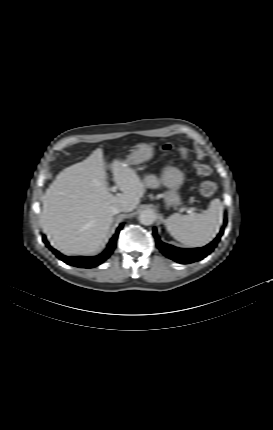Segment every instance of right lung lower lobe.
Here are the masks:
<instances>
[{
    "label": "right lung lower lobe",
    "mask_w": 273,
    "mask_h": 430,
    "mask_svg": "<svg viewBox=\"0 0 273 430\" xmlns=\"http://www.w3.org/2000/svg\"><path fill=\"white\" fill-rule=\"evenodd\" d=\"M122 227H123V224H120L115 235L109 241L105 251L102 254H100L98 256H94V257H82V256L68 257L65 255H62L57 250L50 247L45 236H43V241L46 244V246L49 247V249L63 262H65L69 265H72V266H76V267L92 268V267H96L99 264H101L102 262H104L112 254V252L114 251V249L116 247V240L118 238L119 232L122 229Z\"/></svg>",
    "instance_id": "obj_1"
}]
</instances>
